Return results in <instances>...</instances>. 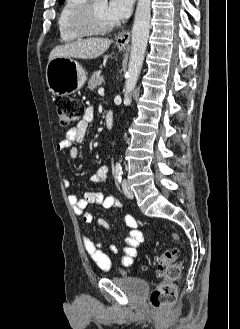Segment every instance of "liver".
<instances>
[{
	"mask_svg": "<svg viewBox=\"0 0 240 329\" xmlns=\"http://www.w3.org/2000/svg\"><path fill=\"white\" fill-rule=\"evenodd\" d=\"M111 40L107 38H89L56 46L49 55V61L56 57H74L79 59H95L102 55Z\"/></svg>",
	"mask_w": 240,
	"mask_h": 329,
	"instance_id": "6515ba94",
	"label": "liver"
}]
</instances>
